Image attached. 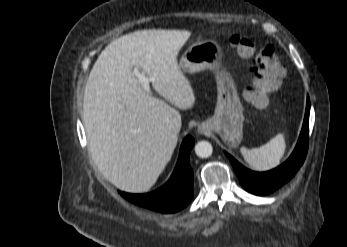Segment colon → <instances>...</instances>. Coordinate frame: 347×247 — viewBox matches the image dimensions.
I'll return each mask as SVG.
<instances>
[{"instance_id": "5ec220e1", "label": "colon", "mask_w": 347, "mask_h": 247, "mask_svg": "<svg viewBox=\"0 0 347 247\" xmlns=\"http://www.w3.org/2000/svg\"><path fill=\"white\" fill-rule=\"evenodd\" d=\"M230 42L242 58L251 60L253 86L245 92L246 101L254 106L265 105V97L280 88L284 77L273 46L257 47L252 39L238 34L233 35Z\"/></svg>"}]
</instances>
